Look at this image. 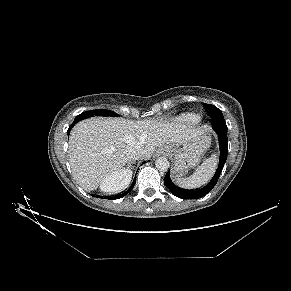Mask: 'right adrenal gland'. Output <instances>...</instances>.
Returning a JSON list of instances; mask_svg holds the SVG:
<instances>
[{"instance_id":"2a0ac1e0","label":"right adrenal gland","mask_w":291,"mask_h":291,"mask_svg":"<svg viewBox=\"0 0 291 291\" xmlns=\"http://www.w3.org/2000/svg\"><path fill=\"white\" fill-rule=\"evenodd\" d=\"M132 163H134V161L133 162H129L128 163V167H132Z\"/></svg>"}]
</instances>
